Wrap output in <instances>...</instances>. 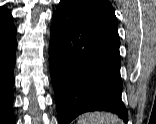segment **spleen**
<instances>
[{"label": "spleen", "instance_id": "3e777b00", "mask_svg": "<svg viewBox=\"0 0 156 124\" xmlns=\"http://www.w3.org/2000/svg\"><path fill=\"white\" fill-rule=\"evenodd\" d=\"M77 124H123V121L111 113L92 112L81 115Z\"/></svg>", "mask_w": 156, "mask_h": 124}]
</instances>
